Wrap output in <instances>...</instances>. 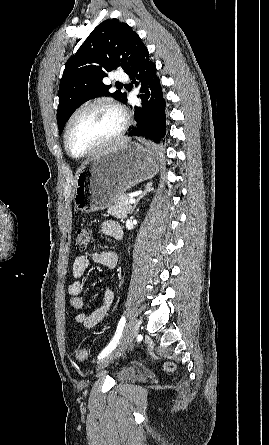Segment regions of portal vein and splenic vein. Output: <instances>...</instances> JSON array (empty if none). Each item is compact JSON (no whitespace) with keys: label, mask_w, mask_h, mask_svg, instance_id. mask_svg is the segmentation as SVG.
<instances>
[{"label":"portal vein and splenic vein","mask_w":269,"mask_h":445,"mask_svg":"<svg viewBox=\"0 0 269 445\" xmlns=\"http://www.w3.org/2000/svg\"><path fill=\"white\" fill-rule=\"evenodd\" d=\"M135 201H136V200H135L134 198H131V199L129 200V203H130V204H134Z\"/></svg>","instance_id":"portal-vein-and-splenic-vein-1"}]
</instances>
